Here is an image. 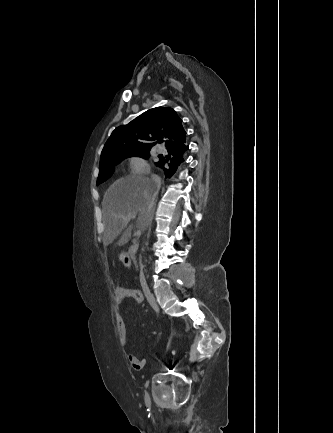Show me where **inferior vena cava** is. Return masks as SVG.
<instances>
[{
  "mask_svg": "<svg viewBox=\"0 0 333 433\" xmlns=\"http://www.w3.org/2000/svg\"><path fill=\"white\" fill-rule=\"evenodd\" d=\"M151 179H152V182L154 184V189H155L154 195H153V203H154L155 198H156V196L160 190V187H161V179L159 176H157L155 174L151 175ZM155 310L157 311V308H155Z\"/></svg>",
  "mask_w": 333,
  "mask_h": 433,
  "instance_id": "obj_1",
  "label": "inferior vena cava"
}]
</instances>
